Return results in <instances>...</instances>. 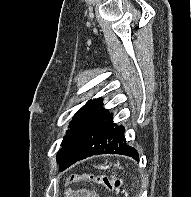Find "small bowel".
<instances>
[{
    "label": "small bowel",
    "mask_w": 191,
    "mask_h": 197,
    "mask_svg": "<svg viewBox=\"0 0 191 197\" xmlns=\"http://www.w3.org/2000/svg\"><path fill=\"white\" fill-rule=\"evenodd\" d=\"M66 194L68 197H98L95 192L83 188L77 190L69 189Z\"/></svg>",
    "instance_id": "obj_1"
}]
</instances>
